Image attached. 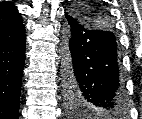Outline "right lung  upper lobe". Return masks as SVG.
I'll return each instance as SVG.
<instances>
[{
	"label": "right lung upper lobe",
	"instance_id": "cb5924a9",
	"mask_svg": "<svg viewBox=\"0 0 142 119\" xmlns=\"http://www.w3.org/2000/svg\"><path fill=\"white\" fill-rule=\"evenodd\" d=\"M24 29L17 8L10 2L0 4V41L16 36Z\"/></svg>",
	"mask_w": 142,
	"mask_h": 119
}]
</instances>
